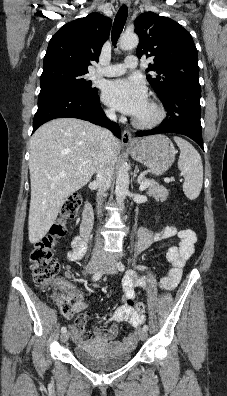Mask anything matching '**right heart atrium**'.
<instances>
[{
	"instance_id": "d8ad5b80",
	"label": "right heart atrium",
	"mask_w": 227,
	"mask_h": 396,
	"mask_svg": "<svg viewBox=\"0 0 227 396\" xmlns=\"http://www.w3.org/2000/svg\"><path fill=\"white\" fill-rule=\"evenodd\" d=\"M105 113L109 117H114V111L112 109H106Z\"/></svg>"
}]
</instances>
